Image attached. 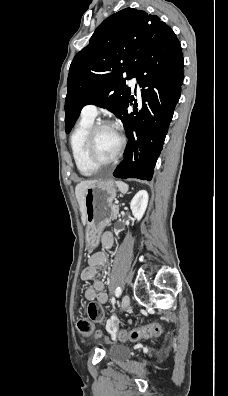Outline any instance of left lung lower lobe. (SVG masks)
<instances>
[{
    "instance_id": "left-lung-lower-lobe-1",
    "label": "left lung lower lobe",
    "mask_w": 228,
    "mask_h": 396,
    "mask_svg": "<svg viewBox=\"0 0 228 396\" xmlns=\"http://www.w3.org/2000/svg\"><path fill=\"white\" fill-rule=\"evenodd\" d=\"M136 78L142 88V103L138 110L135 101L131 113L127 108L133 96L125 105L120 119L129 140L113 175L150 181L183 83L181 45L170 28L154 38Z\"/></svg>"
}]
</instances>
